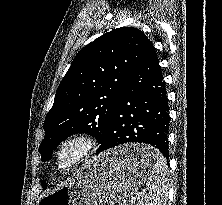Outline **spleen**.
Segmentation results:
<instances>
[{
	"instance_id": "1",
	"label": "spleen",
	"mask_w": 222,
	"mask_h": 205,
	"mask_svg": "<svg viewBox=\"0 0 222 205\" xmlns=\"http://www.w3.org/2000/svg\"><path fill=\"white\" fill-rule=\"evenodd\" d=\"M146 191V196L140 199L138 205H166L167 162L161 154L154 155L149 164Z\"/></svg>"
}]
</instances>
